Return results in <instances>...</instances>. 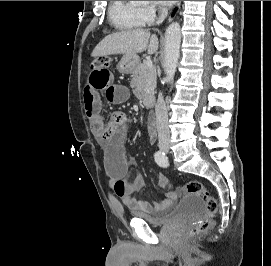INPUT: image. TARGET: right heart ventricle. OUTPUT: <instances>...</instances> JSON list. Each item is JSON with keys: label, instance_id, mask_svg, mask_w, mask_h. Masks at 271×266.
<instances>
[{"label": "right heart ventricle", "instance_id": "obj_1", "mask_svg": "<svg viewBox=\"0 0 271 266\" xmlns=\"http://www.w3.org/2000/svg\"><path fill=\"white\" fill-rule=\"evenodd\" d=\"M109 18L113 26L120 30H130L144 24L139 8L131 1H111Z\"/></svg>", "mask_w": 271, "mask_h": 266}]
</instances>
